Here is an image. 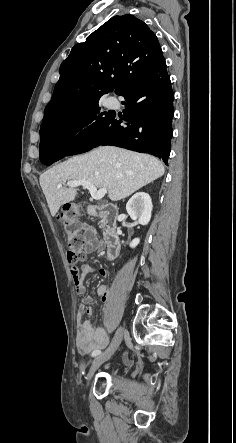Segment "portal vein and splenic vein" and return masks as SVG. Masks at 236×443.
Listing matches in <instances>:
<instances>
[{
	"label": "portal vein and splenic vein",
	"mask_w": 236,
	"mask_h": 443,
	"mask_svg": "<svg viewBox=\"0 0 236 443\" xmlns=\"http://www.w3.org/2000/svg\"><path fill=\"white\" fill-rule=\"evenodd\" d=\"M67 186H69L71 188L83 186V188L89 190L92 198H94L95 200L102 199L105 196V194L107 193V190L105 188H101V189L97 190V188L93 184H91L90 182H87V181H83V180L68 181ZM60 187H62V184L58 185V188H60Z\"/></svg>",
	"instance_id": "portal-vein-and-splenic-vein-1"
}]
</instances>
